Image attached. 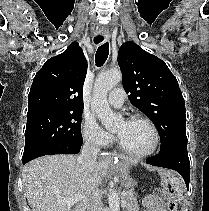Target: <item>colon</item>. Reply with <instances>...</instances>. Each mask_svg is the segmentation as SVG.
I'll use <instances>...</instances> for the list:
<instances>
[{
    "instance_id": "colon-1",
    "label": "colon",
    "mask_w": 209,
    "mask_h": 211,
    "mask_svg": "<svg viewBox=\"0 0 209 211\" xmlns=\"http://www.w3.org/2000/svg\"><path fill=\"white\" fill-rule=\"evenodd\" d=\"M164 189L168 193V198L166 201L167 211H176L177 210V202L175 199V190L171 183L165 182L164 183Z\"/></svg>"
}]
</instances>
